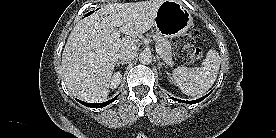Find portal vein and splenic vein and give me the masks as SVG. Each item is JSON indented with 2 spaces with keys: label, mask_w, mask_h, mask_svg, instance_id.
I'll use <instances>...</instances> for the list:
<instances>
[{
  "label": "portal vein and splenic vein",
  "mask_w": 276,
  "mask_h": 138,
  "mask_svg": "<svg viewBox=\"0 0 276 138\" xmlns=\"http://www.w3.org/2000/svg\"><path fill=\"white\" fill-rule=\"evenodd\" d=\"M117 24H118V26H120V23L117 21L116 22ZM112 37L114 38V39H118L119 37H120V33L118 32V31H116V32H114L113 34H112ZM156 52L161 56L162 55V51H161V49L160 48H158V47H156Z\"/></svg>",
  "instance_id": "1"
}]
</instances>
